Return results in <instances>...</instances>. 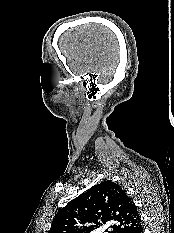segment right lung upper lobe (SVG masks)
Here are the masks:
<instances>
[{
	"label": "right lung upper lobe",
	"instance_id": "obj_1",
	"mask_svg": "<svg viewBox=\"0 0 174 233\" xmlns=\"http://www.w3.org/2000/svg\"><path fill=\"white\" fill-rule=\"evenodd\" d=\"M106 223L112 224L110 233H134L141 226L133 200L109 180L71 200L57 213L48 233H90Z\"/></svg>",
	"mask_w": 174,
	"mask_h": 233
}]
</instances>
